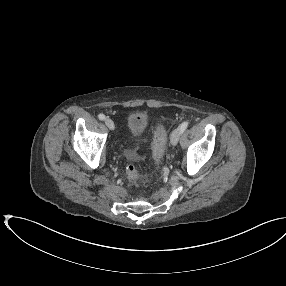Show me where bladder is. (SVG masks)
I'll use <instances>...</instances> for the list:
<instances>
[{
  "mask_svg": "<svg viewBox=\"0 0 286 286\" xmlns=\"http://www.w3.org/2000/svg\"><path fill=\"white\" fill-rule=\"evenodd\" d=\"M147 127V118L143 114H132L127 119V128L132 136H140Z\"/></svg>",
  "mask_w": 286,
  "mask_h": 286,
  "instance_id": "31cf9c89",
  "label": "bladder"
}]
</instances>
